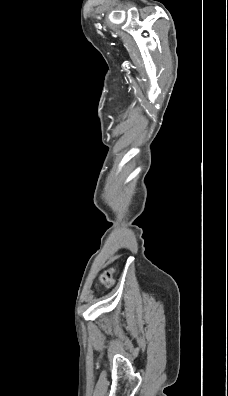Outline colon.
<instances>
[{"mask_svg":"<svg viewBox=\"0 0 228 396\" xmlns=\"http://www.w3.org/2000/svg\"><path fill=\"white\" fill-rule=\"evenodd\" d=\"M115 270L110 268L104 271L100 276V284L105 287H110L114 283Z\"/></svg>","mask_w":228,"mask_h":396,"instance_id":"colon-1","label":"colon"}]
</instances>
